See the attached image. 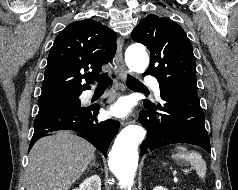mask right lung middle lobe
Instances as JSON below:
<instances>
[{
  "mask_svg": "<svg viewBox=\"0 0 238 190\" xmlns=\"http://www.w3.org/2000/svg\"><path fill=\"white\" fill-rule=\"evenodd\" d=\"M77 96L64 97L54 100L39 101V112L38 114H44L51 111H56L65 108L79 107L80 100Z\"/></svg>",
  "mask_w": 238,
  "mask_h": 190,
  "instance_id": "obj_1",
  "label": "right lung middle lobe"
}]
</instances>
